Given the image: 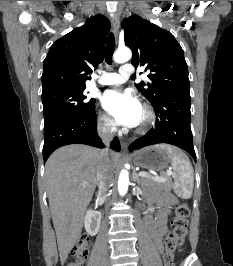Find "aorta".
<instances>
[{
    "instance_id": "obj_1",
    "label": "aorta",
    "mask_w": 233,
    "mask_h": 266,
    "mask_svg": "<svg viewBox=\"0 0 233 266\" xmlns=\"http://www.w3.org/2000/svg\"><path fill=\"white\" fill-rule=\"evenodd\" d=\"M132 57V52L129 48H119L113 55V60L116 63H125ZM129 186V174L128 171L123 169L120 172L118 179V192L121 196H124L128 191Z\"/></svg>"
}]
</instances>
